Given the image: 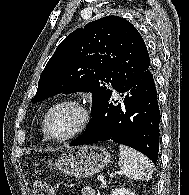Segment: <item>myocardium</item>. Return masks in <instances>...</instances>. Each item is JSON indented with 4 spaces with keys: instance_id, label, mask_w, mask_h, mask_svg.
<instances>
[{
    "instance_id": "1",
    "label": "myocardium",
    "mask_w": 189,
    "mask_h": 195,
    "mask_svg": "<svg viewBox=\"0 0 189 195\" xmlns=\"http://www.w3.org/2000/svg\"><path fill=\"white\" fill-rule=\"evenodd\" d=\"M63 105H73V106L77 107L81 111L82 118H81L80 124L73 132H71L70 134H68L64 137H54V136H52V134L50 133L49 128H48L49 117L57 108H59ZM91 119H92L91 110L86 103H84L80 99H76V98L63 99V100L58 101L54 105H52L49 108V110L46 112V114L43 118V132H44L46 138L53 141V142H67V141L77 137L82 132H84L86 130V128L88 127Z\"/></svg>"
}]
</instances>
